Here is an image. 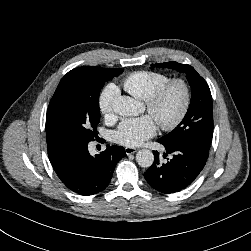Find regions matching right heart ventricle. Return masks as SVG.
Returning a JSON list of instances; mask_svg holds the SVG:
<instances>
[{
    "label": "right heart ventricle",
    "instance_id": "1",
    "mask_svg": "<svg viewBox=\"0 0 251 251\" xmlns=\"http://www.w3.org/2000/svg\"><path fill=\"white\" fill-rule=\"evenodd\" d=\"M169 80L170 77L165 73L138 71L124 79L123 88L134 97L146 100Z\"/></svg>",
    "mask_w": 251,
    "mask_h": 251
}]
</instances>
